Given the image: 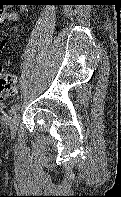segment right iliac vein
Listing matches in <instances>:
<instances>
[{"label":"right iliac vein","mask_w":121,"mask_h":197,"mask_svg":"<svg viewBox=\"0 0 121 197\" xmlns=\"http://www.w3.org/2000/svg\"><path fill=\"white\" fill-rule=\"evenodd\" d=\"M19 118H20V115H19V113H17L10 120L9 128H10V138L12 140H14L15 135H16V131L18 128V123H19Z\"/></svg>","instance_id":"right-iliac-vein-1"}]
</instances>
